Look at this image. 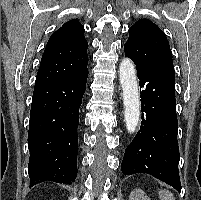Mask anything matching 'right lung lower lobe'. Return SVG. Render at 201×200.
<instances>
[{
	"label": "right lung lower lobe",
	"mask_w": 201,
	"mask_h": 200,
	"mask_svg": "<svg viewBox=\"0 0 201 200\" xmlns=\"http://www.w3.org/2000/svg\"><path fill=\"white\" fill-rule=\"evenodd\" d=\"M87 77L86 65L68 79L34 88L28 131L30 187L75 181L79 108Z\"/></svg>",
	"instance_id": "right-lung-lower-lobe-1"
}]
</instances>
